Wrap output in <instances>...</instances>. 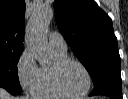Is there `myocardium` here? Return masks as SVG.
Returning a JSON list of instances; mask_svg holds the SVG:
<instances>
[{
  "label": "myocardium",
  "mask_w": 128,
  "mask_h": 99,
  "mask_svg": "<svg viewBox=\"0 0 128 99\" xmlns=\"http://www.w3.org/2000/svg\"><path fill=\"white\" fill-rule=\"evenodd\" d=\"M70 64H77L78 66H80L87 77V86L85 87V89L82 92H80L78 94H73V93L67 92L61 83L62 72ZM52 77H53V83H54L56 90L63 97L72 98V99L82 98L89 93V91L92 87V76H91L90 71L81 61L74 59V58H65V59L55 63L53 66V69H52Z\"/></svg>",
  "instance_id": "myocardium-1"
}]
</instances>
